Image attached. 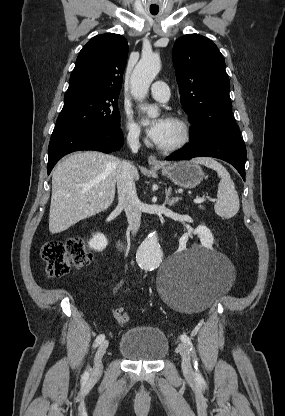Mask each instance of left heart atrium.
<instances>
[{"instance_id": "obj_1", "label": "left heart atrium", "mask_w": 285, "mask_h": 416, "mask_svg": "<svg viewBox=\"0 0 285 416\" xmlns=\"http://www.w3.org/2000/svg\"><path fill=\"white\" fill-rule=\"evenodd\" d=\"M169 119L165 117H159L147 126V135L156 144L161 145L169 128Z\"/></svg>"}]
</instances>
